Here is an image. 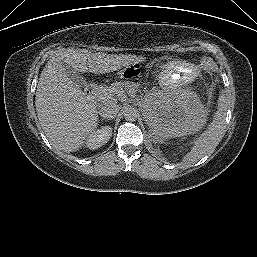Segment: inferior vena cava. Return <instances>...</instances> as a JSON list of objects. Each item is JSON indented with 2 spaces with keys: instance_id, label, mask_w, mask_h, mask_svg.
Masks as SVG:
<instances>
[{
  "instance_id": "602c4592",
  "label": "inferior vena cava",
  "mask_w": 257,
  "mask_h": 257,
  "mask_svg": "<svg viewBox=\"0 0 257 257\" xmlns=\"http://www.w3.org/2000/svg\"><path fill=\"white\" fill-rule=\"evenodd\" d=\"M119 110H120L119 105H117L116 103H113V102H109L100 108L99 114L103 118L112 119V118L116 117Z\"/></svg>"
}]
</instances>
